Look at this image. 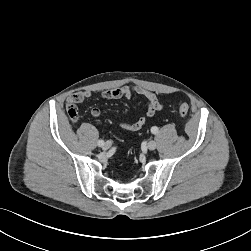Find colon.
<instances>
[{"label": "colon", "instance_id": "5ec220e1", "mask_svg": "<svg viewBox=\"0 0 251 251\" xmlns=\"http://www.w3.org/2000/svg\"><path fill=\"white\" fill-rule=\"evenodd\" d=\"M179 113L183 116V117H186L189 113V107L187 104L183 103L179 106ZM68 114L70 116V119L72 121H75L76 118H77V111L73 108H71L69 111H68Z\"/></svg>", "mask_w": 251, "mask_h": 251}]
</instances>
